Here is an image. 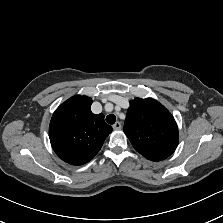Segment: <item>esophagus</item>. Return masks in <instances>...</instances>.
<instances>
[{
    "label": "esophagus",
    "instance_id": "1",
    "mask_svg": "<svg viewBox=\"0 0 223 223\" xmlns=\"http://www.w3.org/2000/svg\"><path fill=\"white\" fill-rule=\"evenodd\" d=\"M121 123L120 122H116L115 124H113V126H112V128L114 129V130H119V129H121Z\"/></svg>",
    "mask_w": 223,
    "mask_h": 223
}]
</instances>
